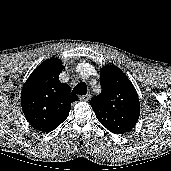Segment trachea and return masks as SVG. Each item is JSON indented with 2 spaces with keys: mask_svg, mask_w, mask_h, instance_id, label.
Instances as JSON below:
<instances>
[{
  "mask_svg": "<svg viewBox=\"0 0 171 171\" xmlns=\"http://www.w3.org/2000/svg\"><path fill=\"white\" fill-rule=\"evenodd\" d=\"M73 92L79 95H85L87 93V86L84 82L78 83L74 88Z\"/></svg>",
  "mask_w": 171,
  "mask_h": 171,
  "instance_id": "3493384b",
  "label": "trachea"
}]
</instances>
